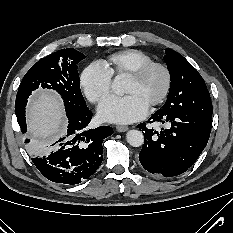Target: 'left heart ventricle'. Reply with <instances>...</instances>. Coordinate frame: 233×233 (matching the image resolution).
<instances>
[{
    "instance_id": "b2bd125f",
    "label": "left heart ventricle",
    "mask_w": 233,
    "mask_h": 233,
    "mask_svg": "<svg viewBox=\"0 0 233 233\" xmlns=\"http://www.w3.org/2000/svg\"><path fill=\"white\" fill-rule=\"evenodd\" d=\"M163 86V73L159 69H153L141 80L134 81L127 78L124 92L137 95L149 106L159 96Z\"/></svg>"
}]
</instances>
